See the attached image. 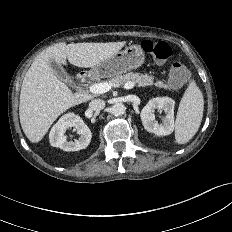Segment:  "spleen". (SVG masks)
I'll use <instances>...</instances> for the list:
<instances>
[{
    "label": "spleen",
    "instance_id": "3e777b00",
    "mask_svg": "<svg viewBox=\"0 0 232 232\" xmlns=\"http://www.w3.org/2000/svg\"><path fill=\"white\" fill-rule=\"evenodd\" d=\"M204 100L200 89L192 81L186 89L177 112L175 139L185 144L196 134L202 121Z\"/></svg>",
    "mask_w": 232,
    "mask_h": 232
}]
</instances>
